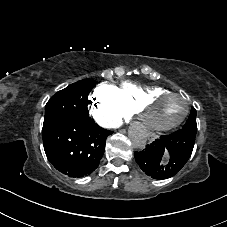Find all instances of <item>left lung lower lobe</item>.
<instances>
[{
    "instance_id": "obj_1",
    "label": "left lung lower lobe",
    "mask_w": 227,
    "mask_h": 227,
    "mask_svg": "<svg viewBox=\"0 0 227 227\" xmlns=\"http://www.w3.org/2000/svg\"><path fill=\"white\" fill-rule=\"evenodd\" d=\"M194 133L180 130L156 139L140 152H134L139 167L153 179H167L174 176L186 164L195 143ZM169 153L168 164L163 163V156Z\"/></svg>"
}]
</instances>
